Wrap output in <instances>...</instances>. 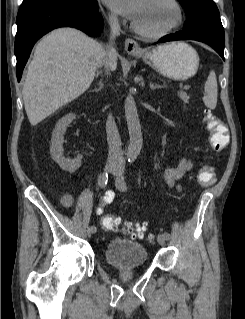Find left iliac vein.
<instances>
[{
	"mask_svg": "<svg viewBox=\"0 0 245 319\" xmlns=\"http://www.w3.org/2000/svg\"><path fill=\"white\" fill-rule=\"evenodd\" d=\"M123 168H124V166L121 165V164H119V165H118V169H117L116 171H114L115 174H116L115 184H116V187H117L118 189H121V184H122V182L124 181V176H123V174H122ZM121 190H122V189H121ZM166 240H167V239L163 236V234H159V235L157 236V241H158V243H159L161 246H165V245H166Z\"/></svg>",
	"mask_w": 245,
	"mask_h": 319,
	"instance_id": "1",
	"label": "left iliac vein"
}]
</instances>
